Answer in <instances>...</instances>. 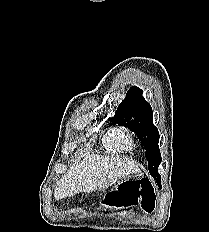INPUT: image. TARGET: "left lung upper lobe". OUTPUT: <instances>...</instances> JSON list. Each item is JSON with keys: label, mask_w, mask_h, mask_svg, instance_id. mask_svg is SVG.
Listing matches in <instances>:
<instances>
[{"label": "left lung upper lobe", "mask_w": 209, "mask_h": 232, "mask_svg": "<svg viewBox=\"0 0 209 232\" xmlns=\"http://www.w3.org/2000/svg\"><path fill=\"white\" fill-rule=\"evenodd\" d=\"M142 93L143 91L138 87L130 88L111 120L119 125L128 127L136 133L146 150L149 172L159 185L158 166L161 163V154L158 146L159 132L153 124L151 105L144 99Z\"/></svg>", "instance_id": "left-lung-upper-lobe-1"}]
</instances>
